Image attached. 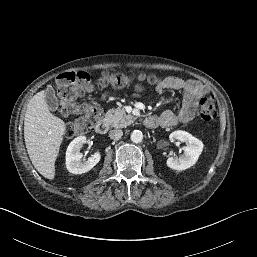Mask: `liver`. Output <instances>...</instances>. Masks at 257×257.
<instances>
[{
    "instance_id": "1",
    "label": "liver",
    "mask_w": 257,
    "mask_h": 257,
    "mask_svg": "<svg viewBox=\"0 0 257 257\" xmlns=\"http://www.w3.org/2000/svg\"><path fill=\"white\" fill-rule=\"evenodd\" d=\"M65 131L64 121L50 113L45 91L35 94L25 113L24 139L32 164L47 179L55 177V161Z\"/></svg>"
}]
</instances>
